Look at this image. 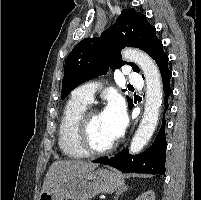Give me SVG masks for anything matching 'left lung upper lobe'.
<instances>
[{
    "mask_svg": "<svg viewBox=\"0 0 201 200\" xmlns=\"http://www.w3.org/2000/svg\"><path fill=\"white\" fill-rule=\"evenodd\" d=\"M126 46L144 50L155 61L164 53L156 29L146 16L134 9H124L115 24L103 31L100 37L82 40L67 56L61 98L65 99L79 84L105 74L109 67L114 69L128 64L133 71L139 72L135 64L121 59L120 51ZM127 99L131 108L133 100Z\"/></svg>",
    "mask_w": 201,
    "mask_h": 200,
    "instance_id": "1",
    "label": "left lung upper lobe"
}]
</instances>
